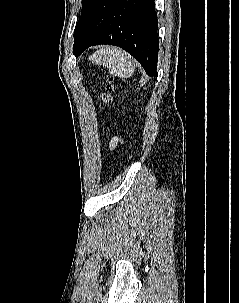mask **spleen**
Masks as SVG:
<instances>
[{"instance_id":"3e777b00","label":"spleen","mask_w":239,"mask_h":303,"mask_svg":"<svg viewBox=\"0 0 239 303\" xmlns=\"http://www.w3.org/2000/svg\"><path fill=\"white\" fill-rule=\"evenodd\" d=\"M89 59L109 69L110 74L120 78L131 77L135 67L131 56L118 47H102Z\"/></svg>"}]
</instances>
